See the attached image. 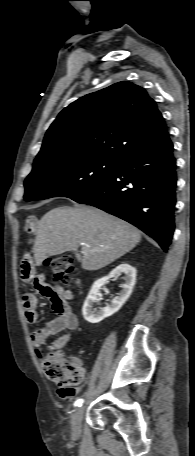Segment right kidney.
Listing matches in <instances>:
<instances>
[{
    "label": "right kidney",
    "mask_w": 195,
    "mask_h": 456,
    "mask_svg": "<svg viewBox=\"0 0 195 456\" xmlns=\"http://www.w3.org/2000/svg\"><path fill=\"white\" fill-rule=\"evenodd\" d=\"M121 274H124L123 277L124 283L120 285L122 290L112 301L111 304L104 308H99L98 310L93 308L94 304L99 302V290L100 288L108 282L110 278L117 277ZM136 282V269L129 265L128 263H122L113 269L108 276L102 277L96 280L89 294L84 302L82 308V314L86 321L89 323H99L103 319L113 315L125 304V302L130 297L133 287Z\"/></svg>",
    "instance_id": "obj_1"
}]
</instances>
